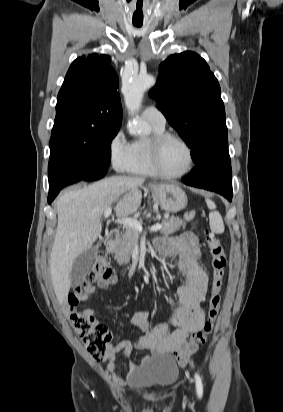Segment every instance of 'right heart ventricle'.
<instances>
[{
	"label": "right heart ventricle",
	"mask_w": 283,
	"mask_h": 412,
	"mask_svg": "<svg viewBox=\"0 0 283 412\" xmlns=\"http://www.w3.org/2000/svg\"><path fill=\"white\" fill-rule=\"evenodd\" d=\"M150 133L146 137L133 140L129 144V159L125 171L131 174L153 176L156 171L151 162V142L152 139L163 132L165 126H158L149 123Z\"/></svg>",
	"instance_id": "right-heart-ventricle-1"
}]
</instances>
